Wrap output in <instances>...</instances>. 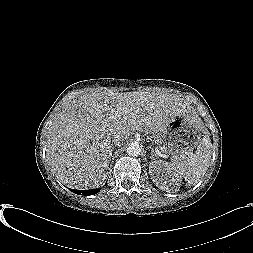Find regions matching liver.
Wrapping results in <instances>:
<instances>
[{"label": "liver", "instance_id": "6515ba94", "mask_svg": "<svg viewBox=\"0 0 253 253\" xmlns=\"http://www.w3.org/2000/svg\"><path fill=\"white\" fill-rule=\"evenodd\" d=\"M182 114L194 112L174 94L112 90L85 93L54 119L47 139L48 163L69 187H98L106 178L113 137H120L122 144L135 131L158 133Z\"/></svg>", "mask_w": 253, "mask_h": 253}]
</instances>
